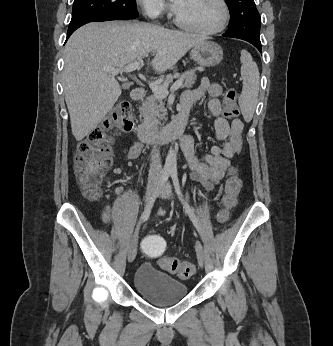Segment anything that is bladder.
I'll return each mask as SVG.
<instances>
[{
    "instance_id": "bladder-1",
    "label": "bladder",
    "mask_w": 333,
    "mask_h": 346,
    "mask_svg": "<svg viewBox=\"0 0 333 346\" xmlns=\"http://www.w3.org/2000/svg\"><path fill=\"white\" fill-rule=\"evenodd\" d=\"M135 290L147 301L156 305H169L183 300L187 285L160 271L150 263L141 264L133 278Z\"/></svg>"
}]
</instances>
